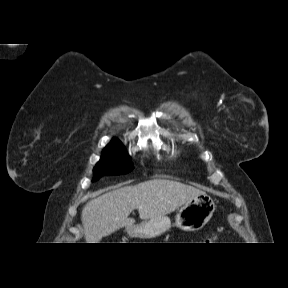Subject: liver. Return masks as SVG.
I'll use <instances>...</instances> for the list:
<instances>
[{"instance_id": "obj_1", "label": "liver", "mask_w": 288, "mask_h": 288, "mask_svg": "<svg viewBox=\"0 0 288 288\" xmlns=\"http://www.w3.org/2000/svg\"><path fill=\"white\" fill-rule=\"evenodd\" d=\"M200 190L169 179H152L117 188L85 204L81 219L87 243H99L122 227L134 226L129 215L138 209L142 220H150L172 213L182 207Z\"/></svg>"}]
</instances>
